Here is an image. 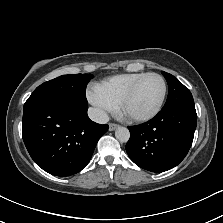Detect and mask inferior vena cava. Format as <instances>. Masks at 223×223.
<instances>
[{"label":"inferior vena cava","instance_id":"obj_1","mask_svg":"<svg viewBox=\"0 0 223 223\" xmlns=\"http://www.w3.org/2000/svg\"><path fill=\"white\" fill-rule=\"evenodd\" d=\"M89 118L99 124H105L109 121V116L102 110L90 107L88 109Z\"/></svg>","mask_w":223,"mask_h":223}]
</instances>
